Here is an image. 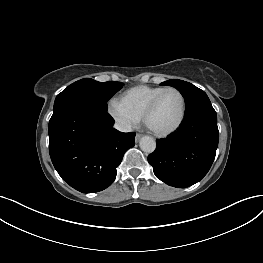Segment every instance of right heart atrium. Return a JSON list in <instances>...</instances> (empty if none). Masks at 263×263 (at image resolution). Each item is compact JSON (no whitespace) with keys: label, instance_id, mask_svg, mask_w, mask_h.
I'll return each mask as SVG.
<instances>
[{"label":"right heart atrium","instance_id":"right-heart-atrium-1","mask_svg":"<svg viewBox=\"0 0 263 263\" xmlns=\"http://www.w3.org/2000/svg\"><path fill=\"white\" fill-rule=\"evenodd\" d=\"M108 113L114 119L119 128L124 131H130L140 122V117L132 113L117 99H112L109 102Z\"/></svg>","mask_w":263,"mask_h":263}]
</instances>
